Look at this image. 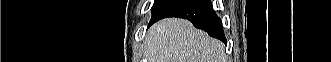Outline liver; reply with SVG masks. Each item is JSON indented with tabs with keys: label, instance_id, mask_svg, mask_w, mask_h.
<instances>
[{
	"label": "liver",
	"instance_id": "obj_1",
	"mask_svg": "<svg viewBox=\"0 0 331 62\" xmlns=\"http://www.w3.org/2000/svg\"><path fill=\"white\" fill-rule=\"evenodd\" d=\"M148 62H223L224 45L188 21L168 18L154 24L145 38Z\"/></svg>",
	"mask_w": 331,
	"mask_h": 62
}]
</instances>
